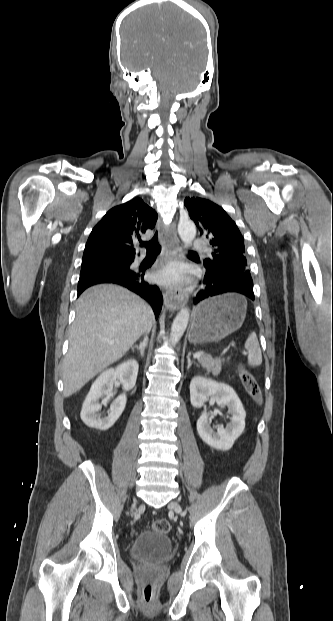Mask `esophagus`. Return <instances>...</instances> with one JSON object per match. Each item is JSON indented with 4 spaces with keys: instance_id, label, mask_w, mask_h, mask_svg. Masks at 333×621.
<instances>
[{
    "instance_id": "esophagus-1",
    "label": "esophagus",
    "mask_w": 333,
    "mask_h": 621,
    "mask_svg": "<svg viewBox=\"0 0 333 621\" xmlns=\"http://www.w3.org/2000/svg\"><path fill=\"white\" fill-rule=\"evenodd\" d=\"M158 227L161 233V239L164 244V252L167 259H175L180 256L179 239L174 224L166 228L163 223L158 220ZM187 296L182 291L168 290L165 297V306L170 311L180 309L186 302Z\"/></svg>"
}]
</instances>
